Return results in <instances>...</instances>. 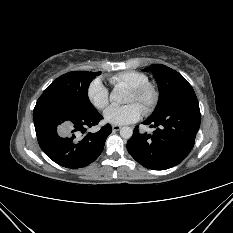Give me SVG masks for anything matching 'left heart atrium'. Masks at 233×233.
I'll return each mask as SVG.
<instances>
[{
	"mask_svg": "<svg viewBox=\"0 0 233 233\" xmlns=\"http://www.w3.org/2000/svg\"><path fill=\"white\" fill-rule=\"evenodd\" d=\"M143 114V109L138 103L108 107L104 112L106 122L114 125H125L137 121Z\"/></svg>",
	"mask_w": 233,
	"mask_h": 233,
	"instance_id": "39dd6f15",
	"label": "left heart atrium"
}]
</instances>
